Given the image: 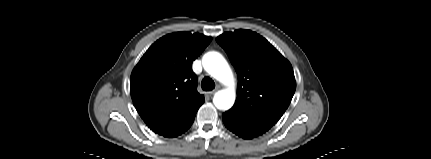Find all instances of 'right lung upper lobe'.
I'll return each instance as SVG.
<instances>
[{
    "mask_svg": "<svg viewBox=\"0 0 431 159\" xmlns=\"http://www.w3.org/2000/svg\"><path fill=\"white\" fill-rule=\"evenodd\" d=\"M211 40L199 33L168 34L152 44L133 69V103L155 133L176 137L194 120L204 96L196 90L192 62Z\"/></svg>",
    "mask_w": 431,
    "mask_h": 159,
    "instance_id": "obj_1",
    "label": "right lung upper lobe"
}]
</instances>
